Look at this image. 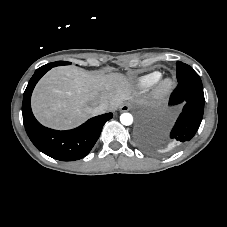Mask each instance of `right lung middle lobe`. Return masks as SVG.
<instances>
[{
  "instance_id": "1",
  "label": "right lung middle lobe",
  "mask_w": 227,
  "mask_h": 227,
  "mask_svg": "<svg viewBox=\"0 0 227 227\" xmlns=\"http://www.w3.org/2000/svg\"><path fill=\"white\" fill-rule=\"evenodd\" d=\"M50 65H52V67L55 66H60V65H70V62H65V61H57V62H53V63H49Z\"/></svg>"
}]
</instances>
